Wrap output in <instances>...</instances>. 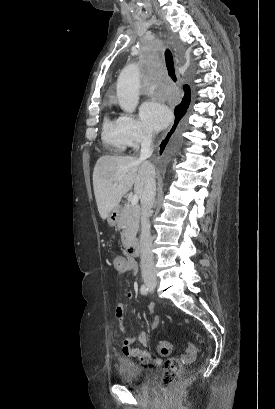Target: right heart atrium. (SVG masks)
<instances>
[{"label":"right heart atrium","mask_w":275,"mask_h":409,"mask_svg":"<svg viewBox=\"0 0 275 409\" xmlns=\"http://www.w3.org/2000/svg\"><path fill=\"white\" fill-rule=\"evenodd\" d=\"M127 145L136 150L149 141L152 132L144 121L133 115H123L119 119Z\"/></svg>","instance_id":"obj_1"}]
</instances>
